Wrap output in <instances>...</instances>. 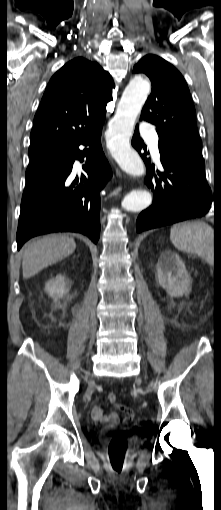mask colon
<instances>
[{"instance_id":"colon-1","label":"colon","mask_w":221,"mask_h":510,"mask_svg":"<svg viewBox=\"0 0 221 510\" xmlns=\"http://www.w3.org/2000/svg\"><path fill=\"white\" fill-rule=\"evenodd\" d=\"M111 403H116V396L113 393L108 395ZM133 420L132 412H127L123 418L124 423H129ZM128 451V441L121 433L115 434L109 441L107 453L112 471L115 474L123 472L124 459Z\"/></svg>"}]
</instances>
